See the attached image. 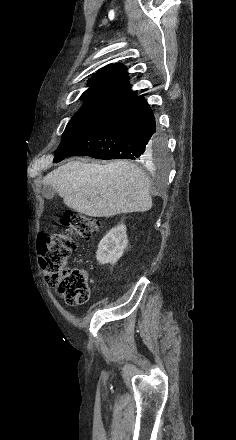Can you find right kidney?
Returning a JSON list of instances; mask_svg holds the SVG:
<instances>
[{
	"mask_svg": "<svg viewBox=\"0 0 236 440\" xmlns=\"http://www.w3.org/2000/svg\"><path fill=\"white\" fill-rule=\"evenodd\" d=\"M128 239L126 226L121 224L112 228L100 241L96 258L100 264H115L123 255Z\"/></svg>",
	"mask_w": 236,
	"mask_h": 440,
	"instance_id": "right-kidney-1",
	"label": "right kidney"
}]
</instances>
